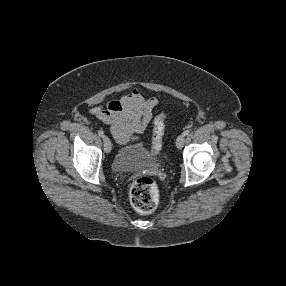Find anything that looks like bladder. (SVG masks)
Here are the masks:
<instances>
[{
  "label": "bladder",
  "mask_w": 286,
  "mask_h": 286,
  "mask_svg": "<svg viewBox=\"0 0 286 286\" xmlns=\"http://www.w3.org/2000/svg\"><path fill=\"white\" fill-rule=\"evenodd\" d=\"M161 162L159 156H149L145 143L138 141L125 144L116 151L112 159V170L115 173H128L145 167H157Z\"/></svg>",
  "instance_id": "obj_1"
}]
</instances>
